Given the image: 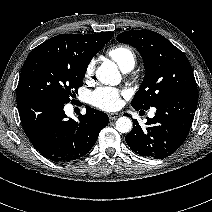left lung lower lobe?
Here are the masks:
<instances>
[{
    "mask_svg": "<svg viewBox=\"0 0 212 212\" xmlns=\"http://www.w3.org/2000/svg\"><path fill=\"white\" fill-rule=\"evenodd\" d=\"M197 101L198 93H184L165 100L155 107V117L147 118L146 127H141L133 119V129L125 136L126 143L143 157H168L185 141L194 119Z\"/></svg>",
    "mask_w": 212,
    "mask_h": 212,
    "instance_id": "left-lung-lower-lobe-1",
    "label": "left lung lower lobe"
}]
</instances>
